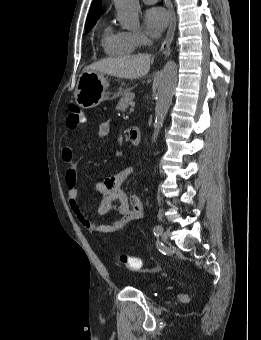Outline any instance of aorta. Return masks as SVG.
Wrapping results in <instances>:
<instances>
[{
    "label": "aorta",
    "instance_id": "aorta-1",
    "mask_svg": "<svg viewBox=\"0 0 261 340\" xmlns=\"http://www.w3.org/2000/svg\"><path fill=\"white\" fill-rule=\"evenodd\" d=\"M117 19L126 28L132 29L139 25V1L138 0H114ZM177 83V65L174 61H168L161 73L156 93L155 122L152 142H156L165 117L172 102L174 89Z\"/></svg>",
    "mask_w": 261,
    "mask_h": 340
}]
</instances>
